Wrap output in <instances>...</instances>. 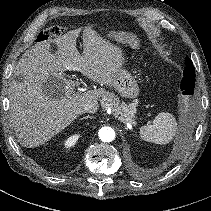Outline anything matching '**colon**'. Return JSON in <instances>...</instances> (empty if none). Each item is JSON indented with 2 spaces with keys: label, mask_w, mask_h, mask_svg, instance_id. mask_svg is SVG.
Returning <instances> with one entry per match:
<instances>
[{
  "label": "colon",
  "mask_w": 211,
  "mask_h": 211,
  "mask_svg": "<svg viewBox=\"0 0 211 211\" xmlns=\"http://www.w3.org/2000/svg\"><path fill=\"white\" fill-rule=\"evenodd\" d=\"M64 31L65 29L61 26H53L46 30L40 31L36 37V42L40 44L45 43L54 37L61 36Z\"/></svg>",
  "instance_id": "1"
}]
</instances>
